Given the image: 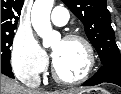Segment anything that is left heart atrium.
Masks as SVG:
<instances>
[{
	"label": "left heart atrium",
	"instance_id": "1",
	"mask_svg": "<svg viewBox=\"0 0 121 94\" xmlns=\"http://www.w3.org/2000/svg\"><path fill=\"white\" fill-rule=\"evenodd\" d=\"M56 53L53 51V57H55Z\"/></svg>",
	"mask_w": 121,
	"mask_h": 94
}]
</instances>
